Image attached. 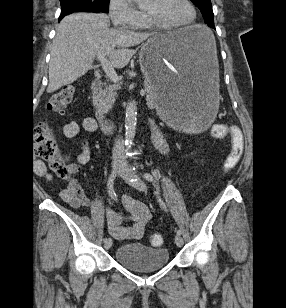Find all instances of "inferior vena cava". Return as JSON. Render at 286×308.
<instances>
[{
  "instance_id": "obj_1",
  "label": "inferior vena cava",
  "mask_w": 286,
  "mask_h": 308,
  "mask_svg": "<svg viewBox=\"0 0 286 308\" xmlns=\"http://www.w3.org/2000/svg\"><path fill=\"white\" fill-rule=\"evenodd\" d=\"M121 147H122V137L119 136V138L115 140L114 152L120 149ZM114 158H116V153L114 154Z\"/></svg>"
}]
</instances>
